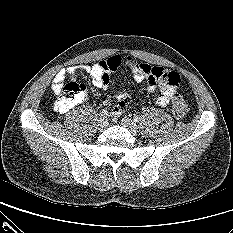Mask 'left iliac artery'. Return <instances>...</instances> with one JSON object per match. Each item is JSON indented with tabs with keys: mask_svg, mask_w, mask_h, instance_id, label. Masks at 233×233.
I'll return each instance as SVG.
<instances>
[{
	"mask_svg": "<svg viewBox=\"0 0 233 233\" xmlns=\"http://www.w3.org/2000/svg\"><path fill=\"white\" fill-rule=\"evenodd\" d=\"M133 120H134L135 122H139V121H140V117L134 116V117H133Z\"/></svg>",
	"mask_w": 233,
	"mask_h": 233,
	"instance_id": "1",
	"label": "left iliac artery"
}]
</instances>
